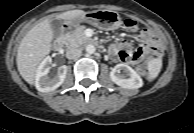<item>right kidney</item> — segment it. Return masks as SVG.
I'll list each match as a JSON object with an SVG mask.
<instances>
[{"mask_svg": "<svg viewBox=\"0 0 194 133\" xmlns=\"http://www.w3.org/2000/svg\"><path fill=\"white\" fill-rule=\"evenodd\" d=\"M52 59L48 56L39 65L35 78L36 89L40 92H50L63 84L67 66H60L56 75H49Z\"/></svg>", "mask_w": 194, "mask_h": 133, "instance_id": "obj_1", "label": "right kidney"}]
</instances>
